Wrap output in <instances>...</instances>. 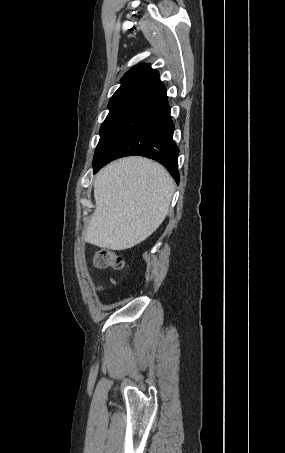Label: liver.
I'll list each match as a JSON object with an SVG mask.
<instances>
[{
  "label": "liver",
  "instance_id": "6515ba94",
  "mask_svg": "<svg viewBox=\"0 0 285 453\" xmlns=\"http://www.w3.org/2000/svg\"><path fill=\"white\" fill-rule=\"evenodd\" d=\"M173 192L172 178L157 162L127 157L110 163L94 180L96 208L84 240L116 251L134 247L162 224Z\"/></svg>",
  "mask_w": 285,
  "mask_h": 453
}]
</instances>
